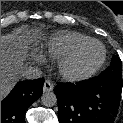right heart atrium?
I'll use <instances>...</instances> for the list:
<instances>
[{
  "label": "right heart atrium",
  "instance_id": "right-heart-atrium-1",
  "mask_svg": "<svg viewBox=\"0 0 123 123\" xmlns=\"http://www.w3.org/2000/svg\"><path fill=\"white\" fill-rule=\"evenodd\" d=\"M34 59H35V61H37V62H41V58H39V57H35Z\"/></svg>",
  "mask_w": 123,
  "mask_h": 123
}]
</instances>
